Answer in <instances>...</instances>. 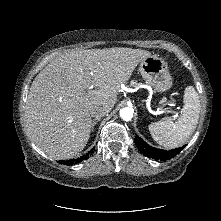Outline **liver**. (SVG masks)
<instances>
[{"label":"liver","mask_w":221,"mask_h":221,"mask_svg":"<svg viewBox=\"0 0 221 221\" xmlns=\"http://www.w3.org/2000/svg\"><path fill=\"white\" fill-rule=\"evenodd\" d=\"M151 53L142 49L73 50L52 60L29 90L25 121L34 143L49 157L68 159L86 146L93 105L110 111L121 84ZM93 85L94 90H89Z\"/></svg>","instance_id":"liver-1"}]
</instances>
